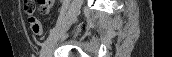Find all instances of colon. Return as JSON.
<instances>
[{"label": "colon", "mask_w": 172, "mask_h": 57, "mask_svg": "<svg viewBox=\"0 0 172 57\" xmlns=\"http://www.w3.org/2000/svg\"><path fill=\"white\" fill-rule=\"evenodd\" d=\"M43 1L44 0H38V3L40 4ZM34 9H35V1H33V0L28 1V7L26 8V11L28 13H33ZM28 22H29V26H30L32 33L34 35H40L42 29H41V25H40L39 21L35 17L31 16L29 18Z\"/></svg>", "instance_id": "5ec220e1"}]
</instances>
